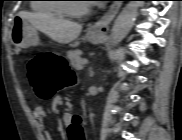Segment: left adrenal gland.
<instances>
[{
	"label": "left adrenal gland",
	"instance_id": "a2214340",
	"mask_svg": "<svg viewBox=\"0 0 182 140\" xmlns=\"http://www.w3.org/2000/svg\"><path fill=\"white\" fill-rule=\"evenodd\" d=\"M90 76L92 77L94 75V72L92 71V68L89 69Z\"/></svg>",
	"mask_w": 182,
	"mask_h": 140
}]
</instances>
